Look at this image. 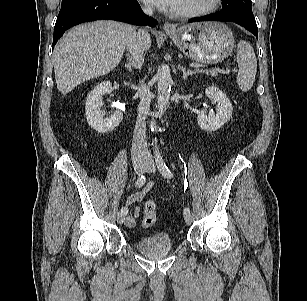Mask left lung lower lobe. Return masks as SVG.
<instances>
[{"instance_id": "left-lung-lower-lobe-1", "label": "left lung lower lobe", "mask_w": 307, "mask_h": 301, "mask_svg": "<svg viewBox=\"0 0 307 301\" xmlns=\"http://www.w3.org/2000/svg\"><path fill=\"white\" fill-rule=\"evenodd\" d=\"M196 21H229L235 22L244 28L248 29L258 38V30L255 17L251 12H218L214 15H209L201 18H194L189 22Z\"/></svg>"}]
</instances>
